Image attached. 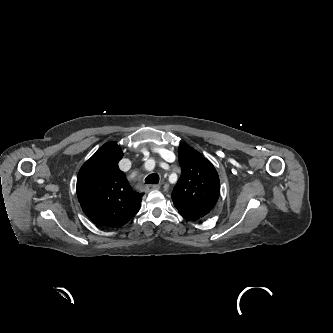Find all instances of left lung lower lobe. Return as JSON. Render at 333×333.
Segmentation results:
<instances>
[{"label":"left lung lower lobe","instance_id":"obj_1","mask_svg":"<svg viewBox=\"0 0 333 333\" xmlns=\"http://www.w3.org/2000/svg\"><path fill=\"white\" fill-rule=\"evenodd\" d=\"M182 216H183L184 218L188 219V220H191V221H195V220L199 219V218H197V217L190 216V215H186V214H183Z\"/></svg>","mask_w":333,"mask_h":333}]
</instances>
